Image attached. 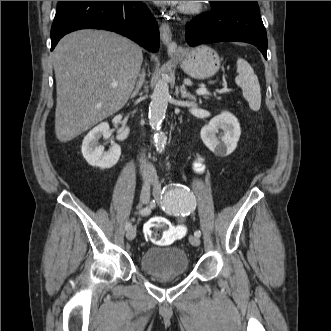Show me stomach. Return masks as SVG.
I'll return each instance as SVG.
<instances>
[{
	"label": "stomach",
	"mask_w": 331,
	"mask_h": 331,
	"mask_svg": "<svg viewBox=\"0 0 331 331\" xmlns=\"http://www.w3.org/2000/svg\"><path fill=\"white\" fill-rule=\"evenodd\" d=\"M178 61L186 74L199 80L212 77L220 68L219 55L207 45L183 50Z\"/></svg>",
	"instance_id": "stomach-1"
}]
</instances>
